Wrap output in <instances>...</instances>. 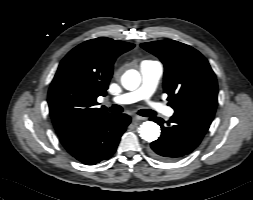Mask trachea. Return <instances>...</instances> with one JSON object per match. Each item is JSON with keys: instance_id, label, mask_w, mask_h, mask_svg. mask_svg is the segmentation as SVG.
Wrapping results in <instances>:
<instances>
[{"instance_id": "3493384b", "label": "trachea", "mask_w": 253, "mask_h": 200, "mask_svg": "<svg viewBox=\"0 0 253 200\" xmlns=\"http://www.w3.org/2000/svg\"><path fill=\"white\" fill-rule=\"evenodd\" d=\"M110 110L111 112H114V113H120L123 111V108L120 105L114 104L110 108ZM139 115L144 116V117H150V116L156 115V112L150 109H143L139 111Z\"/></svg>"}]
</instances>
